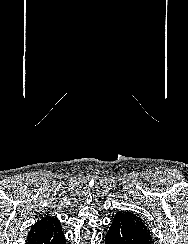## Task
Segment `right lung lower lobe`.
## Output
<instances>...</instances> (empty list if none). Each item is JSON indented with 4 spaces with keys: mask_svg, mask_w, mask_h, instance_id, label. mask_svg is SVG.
I'll use <instances>...</instances> for the list:
<instances>
[{
    "mask_svg": "<svg viewBox=\"0 0 188 244\" xmlns=\"http://www.w3.org/2000/svg\"><path fill=\"white\" fill-rule=\"evenodd\" d=\"M26 244H66L61 225L26 240Z\"/></svg>",
    "mask_w": 188,
    "mask_h": 244,
    "instance_id": "obj_1",
    "label": "right lung lower lobe"
}]
</instances>
